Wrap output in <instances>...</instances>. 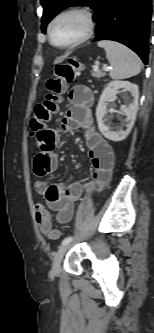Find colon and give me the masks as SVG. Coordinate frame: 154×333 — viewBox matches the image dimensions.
Segmentation results:
<instances>
[{
  "mask_svg": "<svg viewBox=\"0 0 154 333\" xmlns=\"http://www.w3.org/2000/svg\"><path fill=\"white\" fill-rule=\"evenodd\" d=\"M79 69L80 64L74 59H70L67 63L55 67L54 76L47 81L48 93L44 101L34 107L33 116L30 120L32 134L35 135L40 132L52 115L58 111L66 86L74 80ZM34 212L35 220L40 230L52 239L58 238L59 232L52 229L51 216L45 205L36 204Z\"/></svg>",
  "mask_w": 154,
  "mask_h": 333,
  "instance_id": "1",
  "label": "colon"
}]
</instances>
